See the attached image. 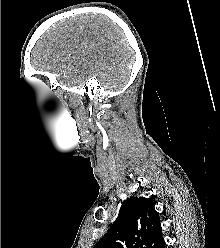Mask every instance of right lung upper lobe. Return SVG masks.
Segmentation results:
<instances>
[{"mask_svg": "<svg viewBox=\"0 0 220 248\" xmlns=\"http://www.w3.org/2000/svg\"><path fill=\"white\" fill-rule=\"evenodd\" d=\"M154 201L130 197L108 232L94 248H155L161 241V225Z\"/></svg>", "mask_w": 220, "mask_h": 248, "instance_id": "obj_1", "label": "right lung upper lobe"}]
</instances>
